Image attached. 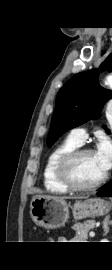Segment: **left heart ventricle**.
Instances as JSON below:
<instances>
[{
  "instance_id": "1",
  "label": "left heart ventricle",
  "mask_w": 112,
  "mask_h": 270,
  "mask_svg": "<svg viewBox=\"0 0 112 270\" xmlns=\"http://www.w3.org/2000/svg\"><path fill=\"white\" fill-rule=\"evenodd\" d=\"M104 174L95 153L83 155L73 165V175L80 184L89 185L95 183Z\"/></svg>"
}]
</instances>
